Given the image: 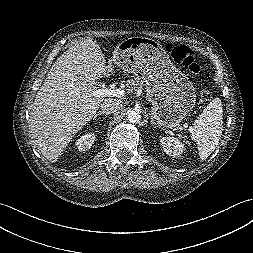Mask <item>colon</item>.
<instances>
[{
    "label": "colon",
    "instance_id": "1",
    "mask_svg": "<svg viewBox=\"0 0 253 253\" xmlns=\"http://www.w3.org/2000/svg\"><path fill=\"white\" fill-rule=\"evenodd\" d=\"M166 53L175 63L186 67L191 73L195 75L202 73L203 65L201 60L188 46L169 43L166 46ZM201 97L203 100H209L210 93L207 90H203Z\"/></svg>",
    "mask_w": 253,
    "mask_h": 253
}]
</instances>
